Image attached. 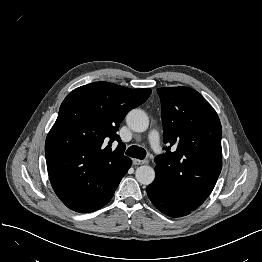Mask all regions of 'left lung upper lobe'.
Here are the masks:
<instances>
[{
    "mask_svg": "<svg viewBox=\"0 0 262 262\" xmlns=\"http://www.w3.org/2000/svg\"><path fill=\"white\" fill-rule=\"evenodd\" d=\"M167 153L155 158L156 182L180 206L195 210L212 192L222 168L219 117L188 87L159 88ZM177 149L171 152V146Z\"/></svg>",
    "mask_w": 262,
    "mask_h": 262,
    "instance_id": "5c2ea615",
    "label": "left lung upper lobe"
}]
</instances>
